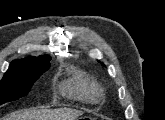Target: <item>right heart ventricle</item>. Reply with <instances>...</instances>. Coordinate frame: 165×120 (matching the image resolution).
Returning <instances> with one entry per match:
<instances>
[{"mask_svg": "<svg viewBox=\"0 0 165 120\" xmlns=\"http://www.w3.org/2000/svg\"><path fill=\"white\" fill-rule=\"evenodd\" d=\"M62 93L70 98L96 102L100 89L96 82L83 71H76L61 85Z\"/></svg>", "mask_w": 165, "mask_h": 120, "instance_id": "obj_1", "label": "right heart ventricle"}]
</instances>
